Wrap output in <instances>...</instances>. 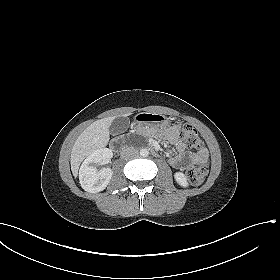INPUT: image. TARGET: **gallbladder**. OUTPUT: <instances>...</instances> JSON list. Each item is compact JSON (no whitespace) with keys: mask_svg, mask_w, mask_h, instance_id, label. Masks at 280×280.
<instances>
[{"mask_svg":"<svg viewBox=\"0 0 280 280\" xmlns=\"http://www.w3.org/2000/svg\"><path fill=\"white\" fill-rule=\"evenodd\" d=\"M130 121L125 116L116 117L109 127V131L112 135H118L127 130Z\"/></svg>","mask_w":280,"mask_h":280,"instance_id":"1","label":"gallbladder"}]
</instances>
